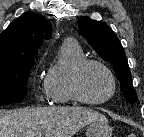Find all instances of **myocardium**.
Returning <instances> with one entry per match:
<instances>
[{
  "instance_id": "obj_1",
  "label": "myocardium",
  "mask_w": 144,
  "mask_h": 137,
  "mask_svg": "<svg viewBox=\"0 0 144 137\" xmlns=\"http://www.w3.org/2000/svg\"><path fill=\"white\" fill-rule=\"evenodd\" d=\"M91 65H96L102 68L106 72V74L108 75L111 81V85H112L111 92L102 99H97V100L89 99L88 97L85 96V94L82 91V87H81L82 74L84 73L86 68ZM71 91L74 99L78 102L87 105H101L107 103L115 96L117 91V81L114 73L105 63L96 59H84L80 64L76 66V68L72 73Z\"/></svg>"
}]
</instances>
